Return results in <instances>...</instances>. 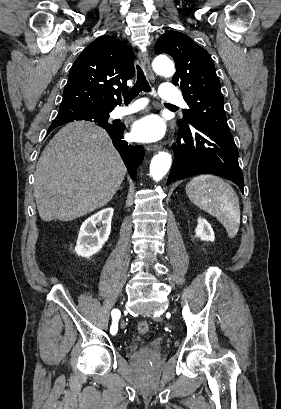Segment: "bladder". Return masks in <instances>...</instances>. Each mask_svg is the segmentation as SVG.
I'll return each mask as SVG.
<instances>
[{
	"label": "bladder",
	"instance_id": "31cf9c89",
	"mask_svg": "<svg viewBox=\"0 0 281 409\" xmlns=\"http://www.w3.org/2000/svg\"><path fill=\"white\" fill-rule=\"evenodd\" d=\"M151 350V348H150V346L149 345H146V344H143V343H141L140 344V351H150Z\"/></svg>",
	"mask_w": 281,
	"mask_h": 409
}]
</instances>
